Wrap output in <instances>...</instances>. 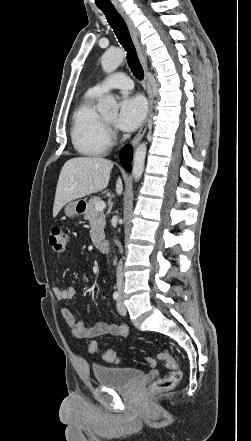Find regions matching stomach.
<instances>
[{"label":"stomach","instance_id":"stomach-1","mask_svg":"<svg viewBox=\"0 0 251 441\" xmlns=\"http://www.w3.org/2000/svg\"><path fill=\"white\" fill-rule=\"evenodd\" d=\"M87 203L84 200L70 201L66 204L64 212L66 216L73 217L84 212Z\"/></svg>","mask_w":251,"mask_h":441}]
</instances>
